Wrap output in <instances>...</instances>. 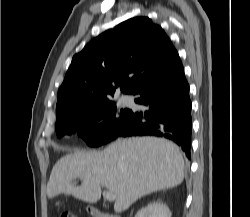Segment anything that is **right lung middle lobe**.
<instances>
[{
  "label": "right lung middle lobe",
  "instance_id": "obj_1",
  "mask_svg": "<svg viewBox=\"0 0 250 217\" xmlns=\"http://www.w3.org/2000/svg\"><path fill=\"white\" fill-rule=\"evenodd\" d=\"M132 111L118 108L112 100L96 104L56 122L58 137L77 133L87 145L97 147L117 138L130 120Z\"/></svg>",
  "mask_w": 250,
  "mask_h": 217
}]
</instances>
